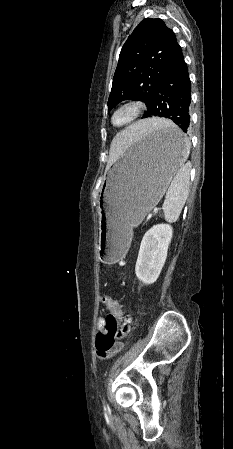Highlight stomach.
<instances>
[{"instance_id": "0dacf381", "label": "stomach", "mask_w": 233, "mask_h": 449, "mask_svg": "<svg viewBox=\"0 0 233 449\" xmlns=\"http://www.w3.org/2000/svg\"><path fill=\"white\" fill-rule=\"evenodd\" d=\"M186 150L185 133L178 127H159L108 171L99 213L98 249L104 262L122 258L133 228L158 204L185 161Z\"/></svg>"}]
</instances>
